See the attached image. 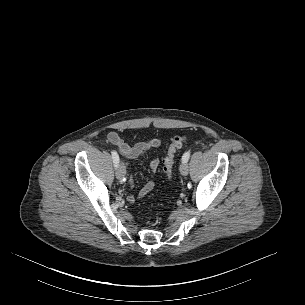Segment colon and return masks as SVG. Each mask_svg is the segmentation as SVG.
<instances>
[{
    "label": "colon",
    "instance_id": "1",
    "mask_svg": "<svg viewBox=\"0 0 305 305\" xmlns=\"http://www.w3.org/2000/svg\"><path fill=\"white\" fill-rule=\"evenodd\" d=\"M186 142L184 136H174L171 140L170 146L168 147L167 154L163 160L164 172L169 179L173 176V168L175 163V154Z\"/></svg>",
    "mask_w": 305,
    "mask_h": 305
}]
</instances>
